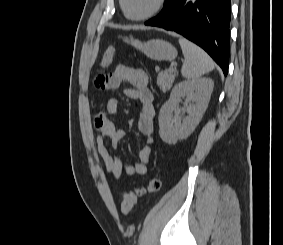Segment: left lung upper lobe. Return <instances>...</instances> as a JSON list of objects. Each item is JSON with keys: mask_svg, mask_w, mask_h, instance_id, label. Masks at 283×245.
Wrapping results in <instances>:
<instances>
[{"mask_svg": "<svg viewBox=\"0 0 283 245\" xmlns=\"http://www.w3.org/2000/svg\"><path fill=\"white\" fill-rule=\"evenodd\" d=\"M172 1L173 0H165L164 7H163L162 11L165 10Z\"/></svg>", "mask_w": 283, "mask_h": 245, "instance_id": "5c2ea615", "label": "left lung upper lobe"}]
</instances>
